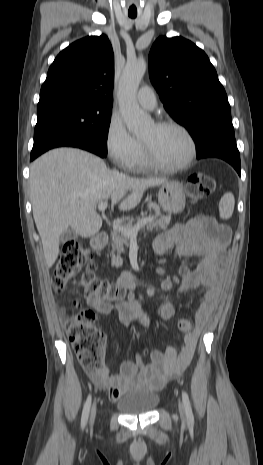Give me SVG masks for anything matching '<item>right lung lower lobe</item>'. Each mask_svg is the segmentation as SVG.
Instances as JSON below:
<instances>
[{"mask_svg":"<svg viewBox=\"0 0 263 465\" xmlns=\"http://www.w3.org/2000/svg\"><path fill=\"white\" fill-rule=\"evenodd\" d=\"M77 147L104 157L102 151L90 141L76 135H58L33 145L30 160H34L44 152L56 147Z\"/></svg>","mask_w":263,"mask_h":465,"instance_id":"98d812e1","label":"right lung lower lobe"}]
</instances>
